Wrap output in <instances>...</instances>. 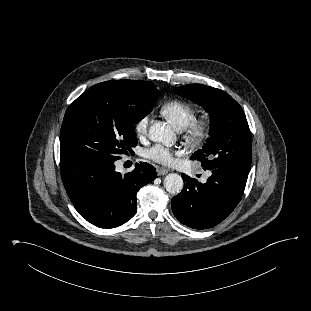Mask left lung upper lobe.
<instances>
[{
  "label": "left lung upper lobe",
  "mask_w": 311,
  "mask_h": 311,
  "mask_svg": "<svg viewBox=\"0 0 311 311\" xmlns=\"http://www.w3.org/2000/svg\"><path fill=\"white\" fill-rule=\"evenodd\" d=\"M174 93L203 106L210 115L209 138L190 157L204 169H234L248 172L251 167V133L241 106L226 92L202 84L178 87Z\"/></svg>",
  "instance_id": "5c2ea615"
}]
</instances>
